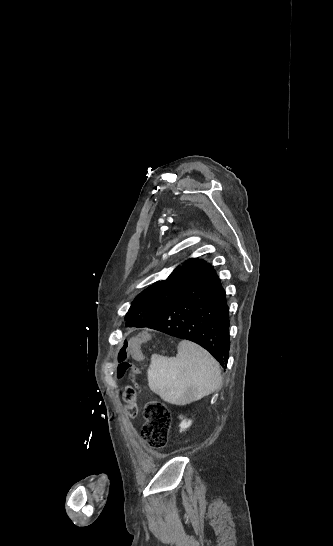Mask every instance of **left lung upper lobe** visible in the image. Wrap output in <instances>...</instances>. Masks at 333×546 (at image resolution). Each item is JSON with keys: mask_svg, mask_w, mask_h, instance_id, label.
I'll return each instance as SVG.
<instances>
[{"mask_svg": "<svg viewBox=\"0 0 333 546\" xmlns=\"http://www.w3.org/2000/svg\"><path fill=\"white\" fill-rule=\"evenodd\" d=\"M205 265V261L196 258L185 261L166 280L154 283L137 295L125 320L134 317L139 327L148 326L163 308L190 287Z\"/></svg>", "mask_w": 333, "mask_h": 546, "instance_id": "5c2ea615", "label": "left lung upper lobe"}]
</instances>
